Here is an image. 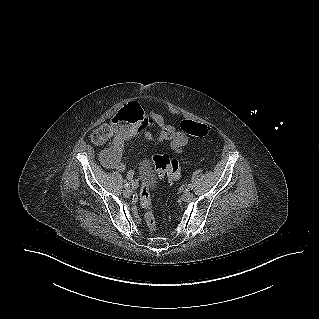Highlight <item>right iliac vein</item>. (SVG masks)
Wrapping results in <instances>:
<instances>
[{
    "instance_id": "obj_1",
    "label": "right iliac vein",
    "mask_w": 319,
    "mask_h": 319,
    "mask_svg": "<svg viewBox=\"0 0 319 319\" xmlns=\"http://www.w3.org/2000/svg\"><path fill=\"white\" fill-rule=\"evenodd\" d=\"M123 195L125 198H129L131 197L132 195V191L129 189V188H126L124 191H123Z\"/></svg>"
}]
</instances>
